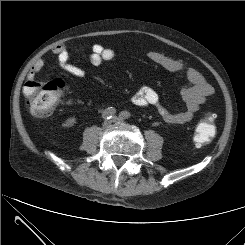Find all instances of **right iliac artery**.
I'll list each match as a JSON object with an SVG mask.
<instances>
[{
  "instance_id": "right-iliac-artery-1",
  "label": "right iliac artery",
  "mask_w": 245,
  "mask_h": 245,
  "mask_svg": "<svg viewBox=\"0 0 245 245\" xmlns=\"http://www.w3.org/2000/svg\"><path fill=\"white\" fill-rule=\"evenodd\" d=\"M115 113H116L115 108L109 107V108H107V109H105V110L103 111V113H102V118H103L104 120H109V119H111V118L114 116Z\"/></svg>"
}]
</instances>
